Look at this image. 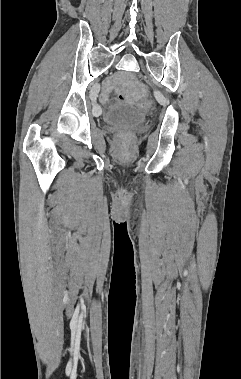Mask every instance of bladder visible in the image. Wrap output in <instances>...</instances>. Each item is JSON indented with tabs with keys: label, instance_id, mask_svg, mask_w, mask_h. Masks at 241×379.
Segmentation results:
<instances>
[{
	"label": "bladder",
	"instance_id": "31cf9c89",
	"mask_svg": "<svg viewBox=\"0 0 241 379\" xmlns=\"http://www.w3.org/2000/svg\"><path fill=\"white\" fill-rule=\"evenodd\" d=\"M104 120L116 126H136L146 120V115L133 107L117 106L105 114Z\"/></svg>",
	"mask_w": 241,
	"mask_h": 379
}]
</instances>
